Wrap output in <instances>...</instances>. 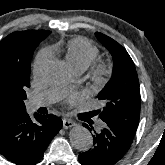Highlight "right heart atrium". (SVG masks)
<instances>
[{
	"instance_id": "right-heart-atrium-1",
	"label": "right heart atrium",
	"mask_w": 165,
	"mask_h": 165,
	"mask_svg": "<svg viewBox=\"0 0 165 165\" xmlns=\"http://www.w3.org/2000/svg\"><path fill=\"white\" fill-rule=\"evenodd\" d=\"M49 58H50V53L46 49L41 50L37 54V56L34 60V63H33V73L35 75L39 74L41 68L49 60Z\"/></svg>"
}]
</instances>
